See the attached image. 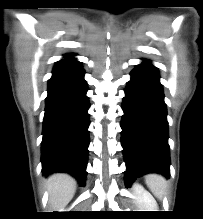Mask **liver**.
Returning a JSON list of instances; mask_svg holds the SVG:
<instances>
[{"label":"liver","instance_id":"6515ba94","mask_svg":"<svg viewBox=\"0 0 203 219\" xmlns=\"http://www.w3.org/2000/svg\"><path fill=\"white\" fill-rule=\"evenodd\" d=\"M46 187L51 210H59L73 198L76 181L68 174L57 173L48 178Z\"/></svg>","mask_w":203,"mask_h":219}]
</instances>
